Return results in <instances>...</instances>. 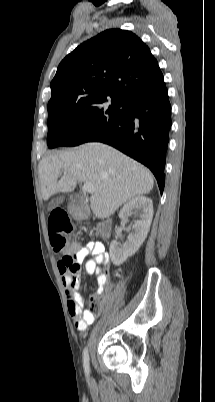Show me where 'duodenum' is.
<instances>
[{"mask_svg":"<svg viewBox=\"0 0 215 402\" xmlns=\"http://www.w3.org/2000/svg\"><path fill=\"white\" fill-rule=\"evenodd\" d=\"M73 215L78 219H84L88 216V212L83 206L72 207ZM111 233V222L108 219L101 220L98 223V234L101 238L107 239Z\"/></svg>","mask_w":215,"mask_h":402,"instance_id":"410a0bca","label":"duodenum"}]
</instances>
